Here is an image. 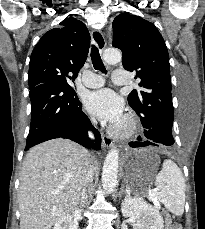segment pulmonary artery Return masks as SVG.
Wrapping results in <instances>:
<instances>
[{
  "mask_svg": "<svg viewBox=\"0 0 205 229\" xmlns=\"http://www.w3.org/2000/svg\"><path fill=\"white\" fill-rule=\"evenodd\" d=\"M112 81L117 85H126L129 82L128 72L124 69H115ZM82 83L89 88H98L104 84L102 76L93 72H86L82 78Z\"/></svg>",
  "mask_w": 205,
  "mask_h": 229,
  "instance_id": "e3ab8cb5",
  "label": "pulmonary artery"
}]
</instances>
